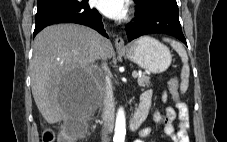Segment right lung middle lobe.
<instances>
[{
  "label": "right lung middle lobe",
  "mask_w": 227,
  "mask_h": 142,
  "mask_svg": "<svg viewBox=\"0 0 227 142\" xmlns=\"http://www.w3.org/2000/svg\"><path fill=\"white\" fill-rule=\"evenodd\" d=\"M78 0H38L37 7L38 9L50 7L54 5H60V4H72L77 3Z\"/></svg>",
  "instance_id": "1"
}]
</instances>
